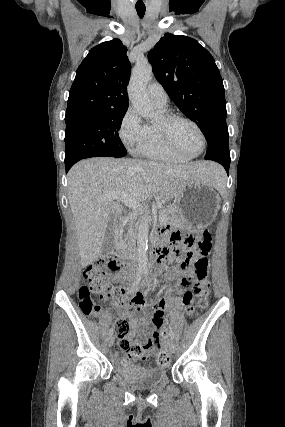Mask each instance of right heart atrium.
Instances as JSON below:
<instances>
[{
	"label": "right heart atrium",
	"mask_w": 285,
	"mask_h": 427,
	"mask_svg": "<svg viewBox=\"0 0 285 427\" xmlns=\"http://www.w3.org/2000/svg\"><path fill=\"white\" fill-rule=\"evenodd\" d=\"M147 125L133 107H129L122 119L120 137L127 149L138 154L145 143Z\"/></svg>",
	"instance_id": "d8ad5b80"
}]
</instances>
